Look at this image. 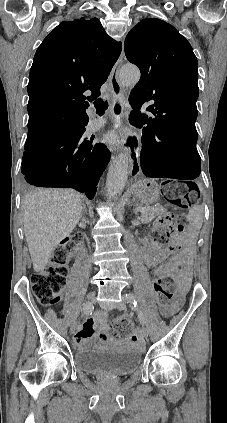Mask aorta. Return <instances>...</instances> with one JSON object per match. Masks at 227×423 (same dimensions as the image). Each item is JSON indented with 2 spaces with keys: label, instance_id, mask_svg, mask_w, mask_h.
Wrapping results in <instances>:
<instances>
[{
  "label": "aorta",
  "instance_id": "1",
  "mask_svg": "<svg viewBox=\"0 0 227 423\" xmlns=\"http://www.w3.org/2000/svg\"><path fill=\"white\" fill-rule=\"evenodd\" d=\"M140 72L134 66H124L120 71V80L125 85H134L139 81ZM129 172V158L120 154L110 164L107 179L106 192L109 200L120 195L125 187Z\"/></svg>",
  "mask_w": 227,
  "mask_h": 423
}]
</instances>
